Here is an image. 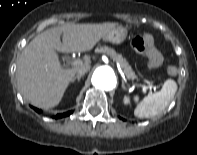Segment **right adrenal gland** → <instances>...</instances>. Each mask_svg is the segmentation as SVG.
<instances>
[{
    "instance_id": "2a0ac1e0",
    "label": "right adrenal gland",
    "mask_w": 197,
    "mask_h": 155,
    "mask_svg": "<svg viewBox=\"0 0 197 155\" xmlns=\"http://www.w3.org/2000/svg\"><path fill=\"white\" fill-rule=\"evenodd\" d=\"M81 77H83V75H77L76 77H74L72 80H71V83H74L76 80H78V82L80 81Z\"/></svg>"
}]
</instances>
